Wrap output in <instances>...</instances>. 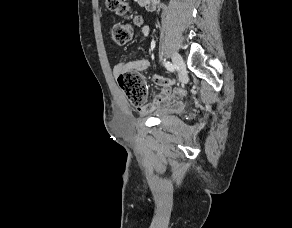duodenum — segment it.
Listing matches in <instances>:
<instances>
[{"label": "duodenum", "instance_id": "410a0bca", "mask_svg": "<svg viewBox=\"0 0 292 228\" xmlns=\"http://www.w3.org/2000/svg\"><path fill=\"white\" fill-rule=\"evenodd\" d=\"M138 1L148 11H153L157 6V0H138Z\"/></svg>", "mask_w": 292, "mask_h": 228}]
</instances>
